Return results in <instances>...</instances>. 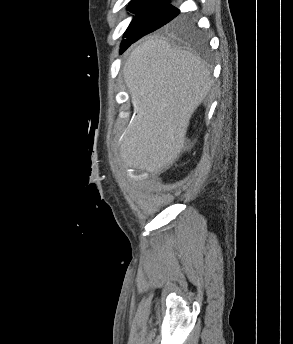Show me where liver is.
Returning <instances> with one entry per match:
<instances>
[{"mask_svg":"<svg viewBox=\"0 0 293 344\" xmlns=\"http://www.w3.org/2000/svg\"><path fill=\"white\" fill-rule=\"evenodd\" d=\"M134 115L120 145L128 167L157 173L179 156L189 120L211 89L209 69L162 38L138 45L123 68Z\"/></svg>","mask_w":293,"mask_h":344,"instance_id":"liver-1","label":"liver"}]
</instances>
